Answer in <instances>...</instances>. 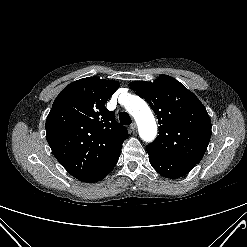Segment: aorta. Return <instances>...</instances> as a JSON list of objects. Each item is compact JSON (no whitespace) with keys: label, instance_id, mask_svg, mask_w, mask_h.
Segmentation results:
<instances>
[{"label":"aorta","instance_id":"obj_1","mask_svg":"<svg viewBox=\"0 0 247 247\" xmlns=\"http://www.w3.org/2000/svg\"><path fill=\"white\" fill-rule=\"evenodd\" d=\"M126 110L134 117L142 140L151 142L157 133L155 118L147 103L138 96H129L125 103Z\"/></svg>","mask_w":247,"mask_h":247}]
</instances>
